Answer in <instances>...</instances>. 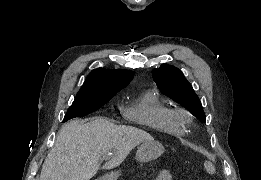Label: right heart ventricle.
I'll list each match as a JSON object with an SVG mask.
<instances>
[{"instance_id":"right-heart-ventricle-1","label":"right heart ventricle","mask_w":261,"mask_h":180,"mask_svg":"<svg viewBox=\"0 0 261 180\" xmlns=\"http://www.w3.org/2000/svg\"><path fill=\"white\" fill-rule=\"evenodd\" d=\"M171 107L154 90L143 92L133 100L124 102L120 107V121H138V126L143 131L163 133V138H138L154 139L161 142H179L186 136V129L182 123L169 119Z\"/></svg>"}]
</instances>
